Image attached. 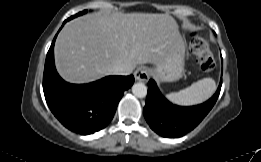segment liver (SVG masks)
<instances>
[{
    "label": "liver",
    "mask_w": 261,
    "mask_h": 162,
    "mask_svg": "<svg viewBox=\"0 0 261 162\" xmlns=\"http://www.w3.org/2000/svg\"><path fill=\"white\" fill-rule=\"evenodd\" d=\"M180 37L169 14H88L67 23L55 42L59 74L71 83H87L113 74L117 65L159 64Z\"/></svg>",
    "instance_id": "1"
}]
</instances>
